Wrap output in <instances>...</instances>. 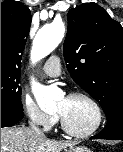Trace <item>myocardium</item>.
Returning <instances> with one entry per match:
<instances>
[{
  "mask_svg": "<svg viewBox=\"0 0 123 152\" xmlns=\"http://www.w3.org/2000/svg\"><path fill=\"white\" fill-rule=\"evenodd\" d=\"M67 98L73 99V98H82L87 100L94 108L95 113H96V120L94 125L86 130V131H76L71 129L68 124L66 123V121L64 120L63 116L61 114L59 115V120H60V124L62 129L64 130L65 133H67L70 136L73 137H77V138H85V137H89L91 135H93L94 133H96L98 131V129L101 127L102 123H103V119H104V114H103V110L102 107L100 106L99 102L90 94L85 93V92H72L70 93Z\"/></svg>",
  "mask_w": 123,
  "mask_h": 152,
  "instance_id": "obj_1",
  "label": "myocardium"
}]
</instances>
